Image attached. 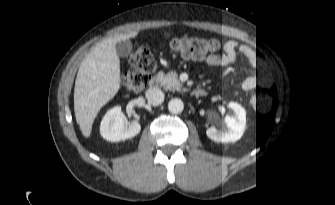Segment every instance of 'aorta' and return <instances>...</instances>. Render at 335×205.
Segmentation results:
<instances>
[{"label": "aorta", "mask_w": 335, "mask_h": 205, "mask_svg": "<svg viewBox=\"0 0 335 205\" xmlns=\"http://www.w3.org/2000/svg\"><path fill=\"white\" fill-rule=\"evenodd\" d=\"M184 108L183 102L179 99H173L168 104V109L171 113H180Z\"/></svg>", "instance_id": "1"}]
</instances>
